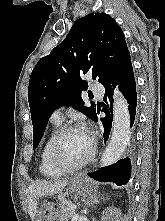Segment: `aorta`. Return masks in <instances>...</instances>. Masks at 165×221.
Wrapping results in <instances>:
<instances>
[{"label":"aorta","mask_w":165,"mask_h":221,"mask_svg":"<svg viewBox=\"0 0 165 221\" xmlns=\"http://www.w3.org/2000/svg\"><path fill=\"white\" fill-rule=\"evenodd\" d=\"M130 139V113L124 96L116 92L113 104L112 136L108 146L102 154L101 166H108L118 161L125 152ZM78 221H88L81 214Z\"/></svg>","instance_id":"1"}]
</instances>
